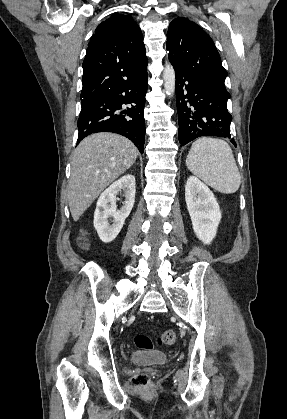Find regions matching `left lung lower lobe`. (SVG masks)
Wrapping results in <instances>:
<instances>
[{
    "label": "left lung lower lobe",
    "mask_w": 287,
    "mask_h": 419,
    "mask_svg": "<svg viewBox=\"0 0 287 419\" xmlns=\"http://www.w3.org/2000/svg\"><path fill=\"white\" fill-rule=\"evenodd\" d=\"M176 101L181 146L201 136L230 139L232 116L227 110L230 94L224 83L176 72Z\"/></svg>",
    "instance_id": "1"
}]
</instances>
